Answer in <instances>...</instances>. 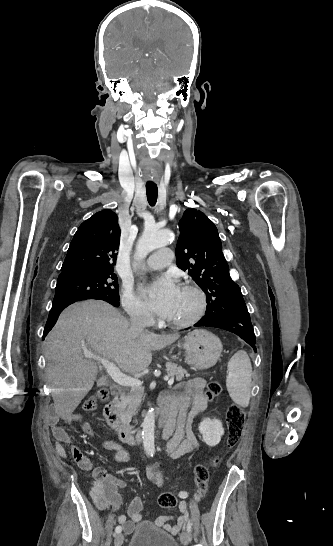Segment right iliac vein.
<instances>
[{
  "mask_svg": "<svg viewBox=\"0 0 333 546\" xmlns=\"http://www.w3.org/2000/svg\"><path fill=\"white\" fill-rule=\"evenodd\" d=\"M123 541H124V536L122 533H117L115 535V539H114V545L115 546H121L123 544Z\"/></svg>",
  "mask_w": 333,
  "mask_h": 546,
  "instance_id": "1",
  "label": "right iliac vein"
}]
</instances>
